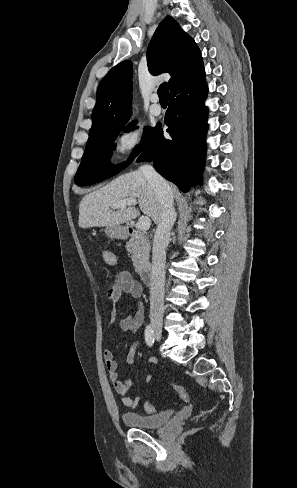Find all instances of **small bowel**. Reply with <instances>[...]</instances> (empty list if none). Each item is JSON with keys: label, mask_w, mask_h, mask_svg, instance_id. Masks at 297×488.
I'll use <instances>...</instances> for the list:
<instances>
[{"label": "small bowel", "mask_w": 297, "mask_h": 488, "mask_svg": "<svg viewBox=\"0 0 297 488\" xmlns=\"http://www.w3.org/2000/svg\"><path fill=\"white\" fill-rule=\"evenodd\" d=\"M104 258L102 259L107 265L114 266L117 263L115 254L109 251H104ZM114 291L110 294V300L112 303L120 301L124 294H129L132 297L139 299L143 294V287L137 281H135L128 272H120L117 274L114 281ZM144 322V307L142 303H139L138 309L135 315L125 316L120 319L119 326L123 331L133 333ZM139 343L133 342L127 356L126 362L131 365L134 363L135 355L138 349ZM103 358L105 361L108 377L113 385V388L117 394L121 396L122 403L127 407H135L139 403V396L131 398L128 396L129 391L132 388V382L129 379H122L118 374V363L114 358V354L111 350L106 349L103 352ZM149 364L155 366L157 359L152 357L149 360ZM146 383L152 380L151 375H146L144 378Z\"/></svg>", "instance_id": "1"}]
</instances>
